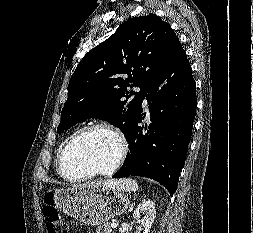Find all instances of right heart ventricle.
Returning <instances> with one entry per match:
<instances>
[{"label":"right heart ventricle","mask_w":253,"mask_h":233,"mask_svg":"<svg viewBox=\"0 0 253 233\" xmlns=\"http://www.w3.org/2000/svg\"><path fill=\"white\" fill-rule=\"evenodd\" d=\"M66 142V140L62 143V145L59 147L58 151H57V170H58V158H59V154H60V151L64 145V143ZM59 173V172H58Z\"/></svg>","instance_id":"1"}]
</instances>
